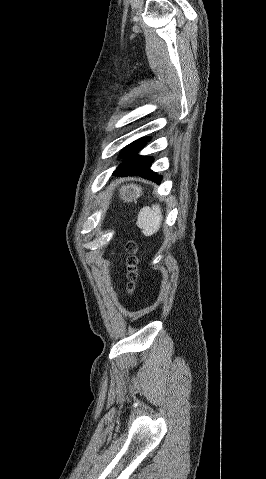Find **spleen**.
<instances>
[{
    "label": "spleen",
    "instance_id": "obj_1",
    "mask_svg": "<svg viewBox=\"0 0 266 479\" xmlns=\"http://www.w3.org/2000/svg\"><path fill=\"white\" fill-rule=\"evenodd\" d=\"M162 219L161 207L158 204L152 205V208L144 207L138 214L137 226L145 236H152L160 229Z\"/></svg>",
    "mask_w": 266,
    "mask_h": 479
}]
</instances>
